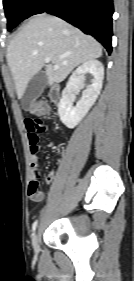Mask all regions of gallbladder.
<instances>
[{
	"label": "gallbladder",
	"instance_id": "1",
	"mask_svg": "<svg viewBox=\"0 0 134 281\" xmlns=\"http://www.w3.org/2000/svg\"><path fill=\"white\" fill-rule=\"evenodd\" d=\"M47 82L48 78L45 71H39L32 77L21 99L22 108L25 111H28L32 102L41 95Z\"/></svg>",
	"mask_w": 134,
	"mask_h": 281
}]
</instances>
